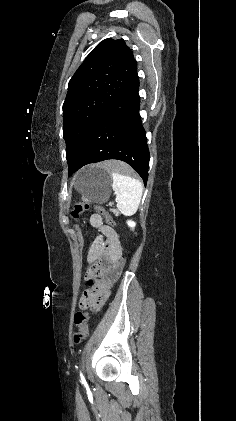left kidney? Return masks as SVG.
<instances>
[{
    "label": "left kidney",
    "mask_w": 236,
    "mask_h": 421,
    "mask_svg": "<svg viewBox=\"0 0 236 421\" xmlns=\"http://www.w3.org/2000/svg\"><path fill=\"white\" fill-rule=\"evenodd\" d=\"M127 225H129V227H135L136 223H134V221H127Z\"/></svg>",
    "instance_id": "obj_1"
}]
</instances>
